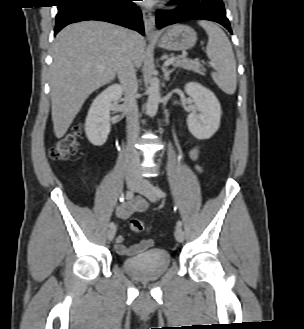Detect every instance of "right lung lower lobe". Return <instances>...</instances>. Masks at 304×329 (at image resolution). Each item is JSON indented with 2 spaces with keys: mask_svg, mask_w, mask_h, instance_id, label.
Segmentation results:
<instances>
[{
  "mask_svg": "<svg viewBox=\"0 0 304 329\" xmlns=\"http://www.w3.org/2000/svg\"><path fill=\"white\" fill-rule=\"evenodd\" d=\"M133 0H66L58 5L54 35L66 25L86 20L118 24L144 35L141 11Z\"/></svg>",
  "mask_w": 304,
  "mask_h": 329,
  "instance_id": "98d812e1",
  "label": "right lung lower lobe"
}]
</instances>
